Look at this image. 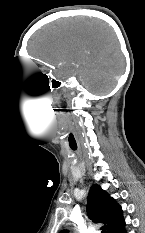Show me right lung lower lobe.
I'll return each instance as SVG.
<instances>
[{
	"instance_id": "obj_1",
	"label": "right lung lower lobe",
	"mask_w": 145,
	"mask_h": 233,
	"mask_svg": "<svg viewBox=\"0 0 145 233\" xmlns=\"http://www.w3.org/2000/svg\"><path fill=\"white\" fill-rule=\"evenodd\" d=\"M111 233H126L125 221L123 220L116 227H114Z\"/></svg>"
}]
</instances>
